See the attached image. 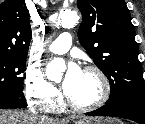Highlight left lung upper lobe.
<instances>
[{"label": "left lung upper lobe", "instance_id": "1", "mask_svg": "<svg viewBox=\"0 0 145 124\" xmlns=\"http://www.w3.org/2000/svg\"><path fill=\"white\" fill-rule=\"evenodd\" d=\"M81 45L110 82L107 104L125 99L145 103L142 66L130 12L124 0H78Z\"/></svg>", "mask_w": 145, "mask_h": 124}]
</instances>
